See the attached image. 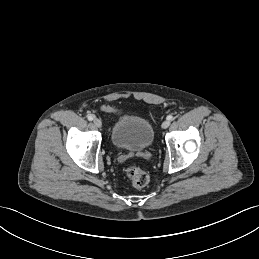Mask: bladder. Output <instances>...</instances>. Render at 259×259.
Listing matches in <instances>:
<instances>
[{"mask_svg":"<svg viewBox=\"0 0 259 259\" xmlns=\"http://www.w3.org/2000/svg\"><path fill=\"white\" fill-rule=\"evenodd\" d=\"M153 127L148 120L138 115H123L113 125L111 141L121 150L140 152L152 144Z\"/></svg>","mask_w":259,"mask_h":259,"instance_id":"1","label":"bladder"}]
</instances>
